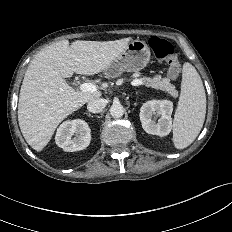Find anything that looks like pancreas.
<instances>
[{"label":"pancreas","instance_id":"pancreas-1","mask_svg":"<svg viewBox=\"0 0 232 232\" xmlns=\"http://www.w3.org/2000/svg\"><path fill=\"white\" fill-rule=\"evenodd\" d=\"M146 86L152 87L157 90L166 91L173 98L178 97V91L175 89V86L170 83L168 78L161 79L160 76H155L154 78H142Z\"/></svg>","mask_w":232,"mask_h":232}]
</instances>
